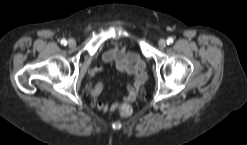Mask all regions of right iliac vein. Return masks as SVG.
<instances>
[{"label":"right iliac vein","instance_id":"obj_1","mask_svg":"<svg viewBox=\"0 0 247 145\" xmlns=\"http://www.w3.org/2000/svg\"><path fill=\"white\" fill-rule=\"evenodd\" d=\"M68 46L69 47H75L76 46V41L74 39H69L68 40Z\"/></svg>","mask_w":247,"mask_h":145}]
</instances>
